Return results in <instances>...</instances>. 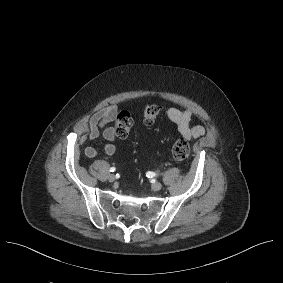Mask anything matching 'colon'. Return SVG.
Masks as SVG:
<instances>
[{"instance_id":"colon-1","label":"colon","mask_w":283,"mask_h":283,"mask_svg":"<svg viewBox=\"0 0 283 283\" xmlns=\"http://www.w3.org/2000/svg\"><path fill=\"white\" fill-rule=\"evenodd\" d=\"M161 107L159 104H150L148 105L143 114V121L146 125H151L157 119L160 113ZM133 125V119L129 112L122 111L118 114L115 121L114 130L115 136L117 139H124L128 136ZM172 155L175 160L183 161L185 160L190 153L189 143L183 139H177L171 149Z\"/></svg>"}]
</instances>
